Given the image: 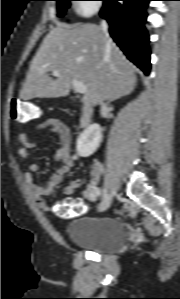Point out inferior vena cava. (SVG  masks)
<instances>
[{
  "mask_svg": "<svg viewBox=\"0 0 180 299\" xmlns=\"http://www.w3.org/2000/svg\"><path fill=\"white\" fill-rule=\"evenodd\" d=\"M101 28L103 29V31L107 34V30H108V24L105 20H102L101 22ZM108 35V34H107Z\"/></svg>",
  "mask_w": 180,
  "mask_h": 299,
  "instance_id": "1",
  "label": "inferior vena cava"
}]
</instances>
